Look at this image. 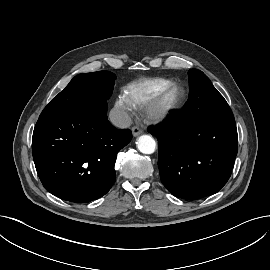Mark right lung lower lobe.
<instances>
[{"label":"right lung lower lobe","instance_id":"obj_1","mask_svg":"<svg viewBox=\"0 0 270 270\" xmlns=\"http://www.w3.org/2000/svg\"><path fill=\"white\" fill-rule=\"evenodd\" d=\"M107 103L78 111L41 114L34 128L32 152L45 189L77 203L105 195L115 181L119 150L131 140L106 116Z\"/></svg>","mask_w":270,"mask_h":270}]
</instances>
